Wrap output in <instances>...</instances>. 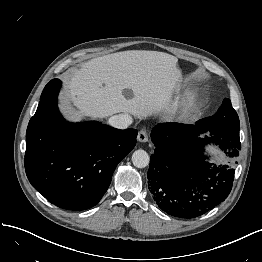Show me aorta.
Segmentation results:
<instances>
[{"label": "aorta", "mask_w": 262, "mask_h": 262, "mask_svg": "<svg viewBox=\"0 0 262 262\" xmlns=\"http://www.w3.org/2000/svg\"><path fill=\"white\" fill-rule=\"evenodd\" d=\"M149 155L146 151L139 149L132 154V163L137 168H145L149 164Z\"/></svg>", "instance_id": "obj_1"}]
</instances>
